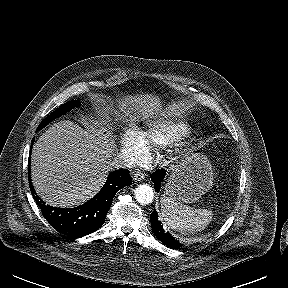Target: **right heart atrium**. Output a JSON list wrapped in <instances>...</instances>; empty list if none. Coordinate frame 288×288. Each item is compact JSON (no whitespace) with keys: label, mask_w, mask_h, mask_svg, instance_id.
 I'll list each match as a JSON object with an SVG mask.
<instances>
[{"label":"right heart atrium","mask_w":288,"mask_h":288,"mask_svg":"<svg viewBox=\"0 0 288 288\" xmlns=\"http://www.w3.org/2000/svg\"><path fill=\"white\" fill-rule=\"evenodd\" d=\"M119 146L122 154L131 163H140L145 160L147 147L145 146L139 132L127 130L119 140Z\"/></svg>","instance_id":"obj_1"}]
</instances>
